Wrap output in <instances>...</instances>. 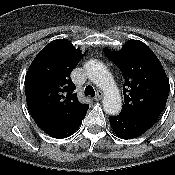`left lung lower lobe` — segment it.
Instances as JSON below:
<instances>
[{"instance_id": "0a47b994", "label": "left lung lower lobe", "mask_w": 175, "mask_h": 175, "mask_svg": "<svg viewBox=\"0 0 175 175\" xmlns=\"http://www.w3.org/2000/svg\"><path fill=\"white\" fill-rule=\"evenodd\" d=\"M160 114L161 112L158 111L120 112L117 116H109V122L117 136L123 139H132L150 129Z\"/></svg>"}]
</instances>
